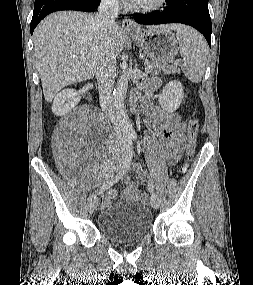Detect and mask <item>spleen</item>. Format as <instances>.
I'll use <instances>...</instances> for the list:
<instances>
[{"label": "spleen", "instance_id": "1", "mask_svg": "<svg viewBox=\"0 0 253 285\" xmlns=\"http://www.w3.org/2000/svg\"><path fill=\"white\" fill-rule=\"evenodd\" d=\"M176 37L184 61L182 71L191 82L199 83L205 72L208 45L200 33L188 26L179 27Z\"/></svg>", "mask_w": 253, "mask_h": 285}]
</instances>
